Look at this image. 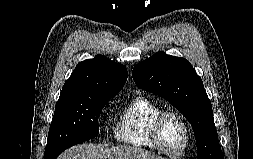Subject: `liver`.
<instances>
[{"label":"liver","mask_w":253,"mask_h":159,"mask_svg":"<svg viewBox=\"0 0 253 159\" xmlns=\"http://www.w3.org/2000/svg\"><path fill=\"white\" fill-rule=\"evenodd\" d=\"M57 159H165L132 146L109 147L106 144L84 143L64 151Z\"/></svg>","instance_id":"6515ba94"}]
</instances>
